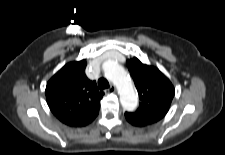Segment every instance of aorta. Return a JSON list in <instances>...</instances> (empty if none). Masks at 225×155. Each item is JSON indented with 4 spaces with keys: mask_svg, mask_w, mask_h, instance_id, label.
Masks as SVG:
<instances>
[{
    "mask_svg": "<svg viewBox=\"0 0 225 155\" xmlns=\"http://www.w3.org/2000/svg\"><path fill=\"white\" fill-rule=\"evenodd\" d=\"M102 69L105 77L116 85L123 109L135 110L138 105V97L125 70L114 60H106L102 64Z\"/></svg>",
    "mask_w": 225,
    "mask_h": 155,
    "instance_id": "obj_1",
    "label": "aorta"
}]
</instances>
